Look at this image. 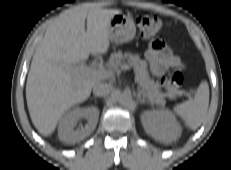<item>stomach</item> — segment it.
<instances>
[{
	"label": "stomach",
	"instance_id": "stomach-1",
	"mask_svg": "<svg viewBox=\"0 0 231 170\" xmlns=\"http://www.w3.org/2000/svg\"><path fill=\"white\" fill-rule=\"evenodd\" d=\"M136 33V26L130 15L117 14L112 17L108 27L109 40L115 43L131 41Z\"/></svg>",
	"mask_w": 231,
	"mask_h": 170
}]
</instances>
